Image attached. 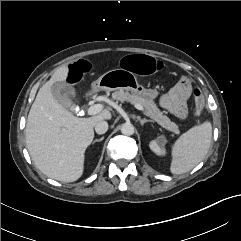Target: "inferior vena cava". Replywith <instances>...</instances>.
Here are the masks:
<instances>
[{
	"label": "inferior vena cava",
	"instance_id": "obj_1",
	"mask_svg": "<svg viewBox=\"0 0 241 241\" xmlns=\"http://www.w3.org/2000/svg\"><path fill=\"white\" fill-rule=\"evenodd\" d=\"M108 130V123L106 121H99L95 125V131L97 134L101 135L106 133Z\"/></svg>",
	"mask_w": 241,
	"mask_h": 241
}]
</instances>
